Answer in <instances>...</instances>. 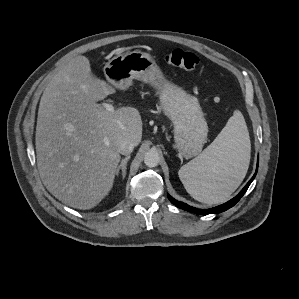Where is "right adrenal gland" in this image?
I'll return each instance as SVG.
<instances>
[{"instance_id":"obj_1","label":"right adrenal gland","mask_w":299,"mask_h":299,"mask_svg":"<svg viewBox=\"0 0 299 299\" xmlns=\"http://www.w3.org/2000/svg\"><path fill=\"white\" fill-rule=\"evenodd\" d=\"M129 159H130V155L127 156L126 158L122 159L120 165L117 167V170H116L117 176H119L120 170L122 171L123 180L125 179V176H126L127 162L129 161Z\"/></svg>"}]
</instances>
